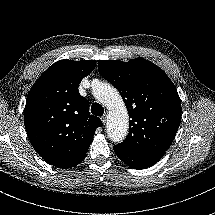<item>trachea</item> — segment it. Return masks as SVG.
Here are the masks:
<instances>
[{"label":"trachea","instance_id":"trachea-1","mask_svg":"<svg viewBox=\"0 0 215 215\" xmlns=\"http://www.w3.org/2000/svg\"><path fill=\"white\" fill-rule=\"evenodd\" d=\"M91 112L93 115L102 116L104 114V108L99 103H93L91 106Z\"/></svg>","mask_w":215,"mask_h":215}]
</instances>
